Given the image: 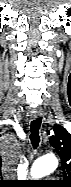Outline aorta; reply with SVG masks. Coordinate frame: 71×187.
Returning <instances> with one entry per match:
<instances>
[{
  "instance_id": "762f6f07",
  "label": "aorta",
  "mask_w": 71,
  "mask_h": 187,
  "mask_svg": "<svg viewBox=\"0 0 71 187\" xmlns=\"http://www.w3.org/2000/svg\"><path fill=\"white\" fill-rule=\"evenodd\" d=\"M57 166L58 160L54 155L44 156L34 162L30 174L33 178H42L54 172Z\"/></svg>"
}]
</instances>
